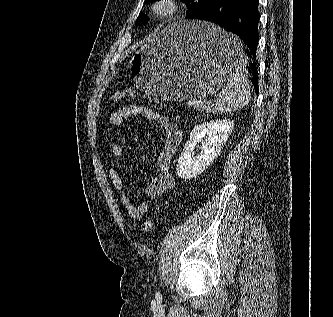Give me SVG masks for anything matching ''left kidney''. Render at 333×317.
Wrapping results in <instances>:
<instances>
[{
    "label": "left kidney",
    "mask_w": 333,
    "mask_h": 317,
    "mask_svg": "<svg viewBox=\"0 0 333 317\" xmlns=\"http://www.w3.org/2000/svg\"><path fill=\"white\" fill-rule=\"evenodd\" d=\"M234 127L233 120L223 119L196 125L186 142L177 163V174L183 180L200 175L220 154ZM202 140V150L194 156V149Z\"/></svg>",
    "instance_id": "5707ae66"
}]
</instances>
